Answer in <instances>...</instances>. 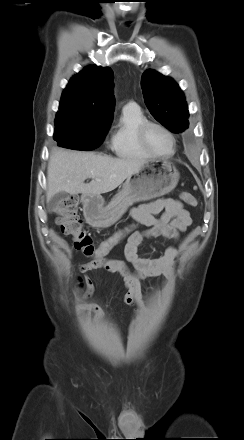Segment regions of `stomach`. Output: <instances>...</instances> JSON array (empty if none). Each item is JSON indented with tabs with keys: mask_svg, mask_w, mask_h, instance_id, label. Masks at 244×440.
Listing matches in <instances>:
<instances>
[{
	"mask_svg": "<svg viewBox=\"0 0 244 440\" xmlns=\"http://www.w3.org/2000/svg\"><path fill=\"white\" fill-rule=\"evenodd\" d=\"M180 173L166 160L147 161L131 174L122 189L104 206L100 195L81 198L84 215L89 225L107 228L117 222L136 202L148 201L171 192L178 184Z\"/></svg>",
	"mask_w": 244,
	"mask_h": 440,
	"instance_id": "0dacf381",
	"label": "stomach"
}]
</instances>
